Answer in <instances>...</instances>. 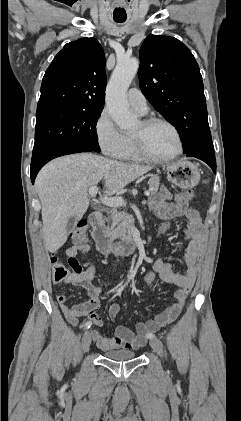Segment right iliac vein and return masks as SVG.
Masks as SVG:
<instances>
[{
    "instance_id": "obj_1",
    "label": "right iliac vein",
    "mask_w": 241,
    "mask_h": 421,
    "mask_svg": "<svg viewBox=\"0 0 241 421\" xmlns=\"http://www.w3.org/2000/svg\"><path fill=\"white\" fill-rule=\"evenodd\" d=\"M91 344V333L89 331H85L82 336L81 341V350L83 353H86L89 350Z\"/></svg>"
}]
</instances>
